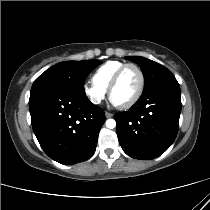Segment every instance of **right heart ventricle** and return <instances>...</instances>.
<instances>
[{
  "mask_svg": "<svg viewBox=\"0 0 210 210\" xmlns=\"http://www.w3.org/2000/svg\"><path fill=\"white\" fill-rule=\"evenodd\" d=\"M123 64H125V63L122 61H118V60H110V61L103 63L93 73V75H92L93 83L96 86H98L104 90H108L109 84H110L115 72Z\"/></svg>",
  "mask_w": 210,
  "mask_h": 210,
  "instance_id": "e07e8e85",
  "label": "right heart ventricle"
}]
</instances>
